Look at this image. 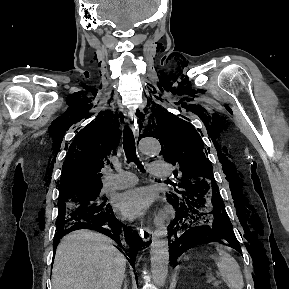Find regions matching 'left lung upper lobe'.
Wrapping results in <instances>:
<instances>
[{"label":"left lung upper lobe","instance_id":"1","mask_svg":"<svg viewBox=\"0 0 289 289\" xmlns=\"http://www.w3.org/2000/svg\"><path fill=\"white\" fill-rule=\"evenodd\" d=\"M157 123L150 125L143 136L156 137L161 143L164 159L179 167L174 175L181 178L177 194L169 197L179 198L193 192L206 196L215 192L218 186L213 177V168L206 158L207 151L195 128L187 121L168 113L161 107L155 109ZM149 131V132H147Z\"/></svg>","mask_w":289,"mask_h":289}]
</instances>
